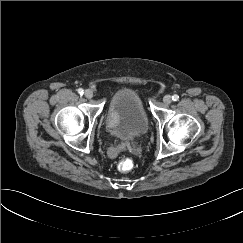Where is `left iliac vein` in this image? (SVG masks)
Listing matches in <instances>:
<instances>
[{"instance_id": "4c4485c4", "label": "left iliac vein", "mask_w": 243, "mask_h": 243, "mask_svg": "<svg viewBox=\"0 0 243 243\" xmlns=\"http://www.w3.org/2000/svg\"><path fill=\"white\" fill-rule=\"evenodd\" d=\"M165 104H170L172 102V97L170 95H165L163 98Z\"/></svg>"}]
</instances>
